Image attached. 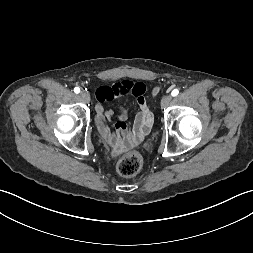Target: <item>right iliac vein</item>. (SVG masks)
<instances>
[{
    "mask_svg": "<svg viewBox=\"0 0 253 253\" xmlns=\"http://www.w3.org/2000/svg\"><path fill=\"white\" fill-rule=\"evenodd\" d=\"M80 97H81V99H83L85 102H89V101H90V94H89L88 92L81 91V92H80Z\"/></svg>",
    "mask_w": 253,
    "mask_h": 253,
    "instance_id": "right-iliac-vein-1",
    "label": "right iliac vein"
}]
</instances>
